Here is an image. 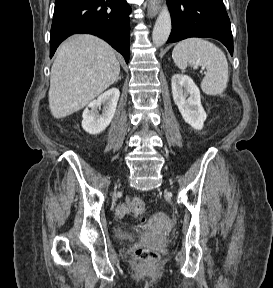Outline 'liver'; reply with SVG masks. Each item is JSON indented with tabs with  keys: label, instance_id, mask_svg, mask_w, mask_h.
<instances>
[{
	"label": "liver",
	"instance_id": "1",
	"mask_svg": "<svg viewBox=\"0 0 273 288\" xmlns=\"http://www.w3.org/2000/svg\"><path fill=\"white\" fill-rule=\"evenodd\" d=\"M119 73L109 44L93 35L73 36L59 46L51 68V114L60 119L83 109L117 81Z\"/></svg>",
	"mask_w": 273,
	"mask_h": 288
}]
</instances>
